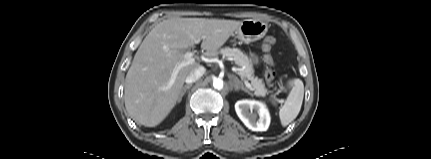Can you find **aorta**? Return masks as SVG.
<instances>
[{
	"mask_svg": "<svg viewBox=\"0 0 431 159\" xmlns=\"http://www.w3.org/2000/svg\"><path fill=\"white\" fill-rule=\"evenodd\" d=\"M224 86L223 80L220 78H215L213 80V87L217 90H221Z\"/></svg>",
	"mask_w": 431,
	"mask_h": 159,
	"instance_id": "obj_1",
	"label": "aorta"
}]
</instances>
